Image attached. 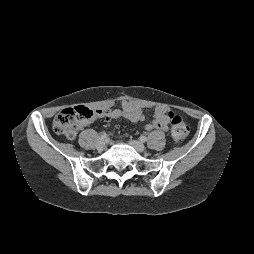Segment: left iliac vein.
<instances>
[{
	"instance_id": "obj_1",
	"label": "left iliac vein",
	"mask_w": 254,
	"mask_h": 254,
	"mask_svg": "<svg viewBox=\"0 0 254 254\" xmlns=\"http://www.w3.org/2000/svg\"><path fill=\"white\" fill-rule=\"evenodd\" d=\"M130 144L138 152H144L145 151V146L140 141L132 140V141H130Z\"/></svg>"
}]
</instances>
